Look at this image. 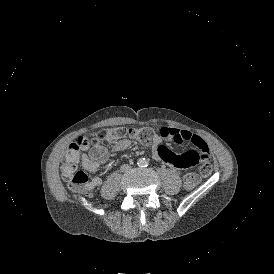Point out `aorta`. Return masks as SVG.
Instances as JSON below:
<instances>
[{"instance_id": "762f6f07", "label": "aorta", "mask_w": 274, "mask_h": 274, "mask_svg": "<svg viewBox=\"0 0 274 274\" xmlns=\"http://www.w3.org/2000/svg\"><path fill=\"white\" fill-rule=\"evenodd\" d=\"M139 165L140 166H146L147 165V161L145 159H140L139 160Z\"/></svg>"}]
</instances>
